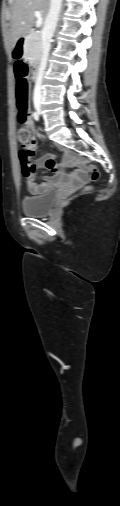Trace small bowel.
Returning a JSON list of instances; mask_svg holds the SVG:
<instances>
[{
    "instance_id": "c3829d8e",
    "label": "small bowel",
    "mask_w": 120,
    "mask_h": 506,
    "mask_svg": "<svg viewBox=\"0 0 120 506\" xmlns=\"http://www.w3.org/2000/svg\"><path fill=\"white\" fill-rule=\"evenodd\" d=\"M27 126L32 127L33 122L29 120ZM21 161L23 163L22 172L26 179V187L32 194H40L53 184L69 181L74 184H80L89 181L88 175L83 171H75L71 175L66 172V169L73 167L75 164L79 165L81 162V159L69 150L65 151L64 159L61 164L57 163L53 154H46L36 162L27 161L21 156ZM37 169H49L53 171L55 175L46 177L42 183L37 184L35 182V173Z\"/></svg>"
}]
</instances>
